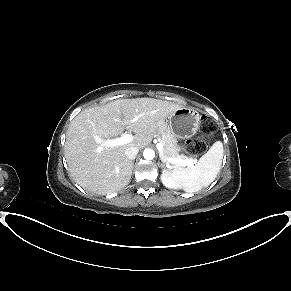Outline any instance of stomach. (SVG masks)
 I'll use <instances>...</instances> for the list:
<instances>
[{
	"instance_id": "1",
	"label": "stomach",
	"mask_w": 291,
	"mask_h": 291,
	"mask_svg": "<svg viewBox=\"0 0 291 291\" xmlns=\"http://www.w3.org/2000/svg\"><path fill=\"white\" fill-rule=\"evenodd\" d=\"M201 115L193 108L182 107L169 117V128L176 143L179 139L190 138L199 129Z\"/></svg>"
}]
</instances>
